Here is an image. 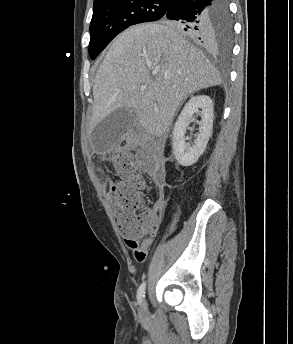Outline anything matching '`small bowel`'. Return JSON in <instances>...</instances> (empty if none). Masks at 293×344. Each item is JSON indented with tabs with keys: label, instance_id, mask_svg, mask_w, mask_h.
I'll return each instance as SVG.
<instances>
[{
	"label": "small bowel",
	"instance_id": "small-bowel-1",
	"mask_svg": "<svg viewBox=\"0 0 293 344\" xmlns=\"http://www.w3.org/2000/svg\"><path fill=\"white\" fill-rule=\"evenodd\" d=\"M163 205L164 198L160 196L157 200V203L155 204V208L159 210L162 208ZM151 243V237H141L138 239L125 240V245L133 252L134 257L138 262H143L145 260Z\"/></svg>",
	"mask_w": 293,
	"mask_h": 344
}]
</instances>
